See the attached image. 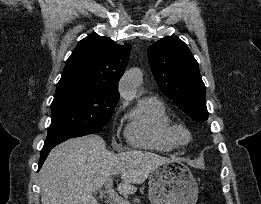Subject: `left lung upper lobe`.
I'll return each mask as SVG.
<instances>
[{"instance_id": "1", "label": "left lung upper lobe", "mask_w": 261, "mask_h": 204, "mask_svg": "<svg viewBox=\"0 0 261 204\" xmlns=\"http://www.w3.org/2000/svg\"><path fill=\"white\" fill-rule=\"evenodd\" d=\"M148 59L161 91L192 119L207 120L206 87L187 45L177 37L161 39L148 48Z\"/></svg>"}]
</instances>
